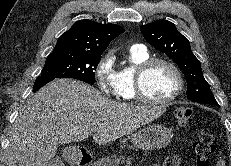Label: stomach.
Instances as JSON below:
<instances>
[{
	"mask_svg": "<svg viewBox=\"0 0 231 166\" xmlns=\"http://www.w3.org/2000/svg\"><path fill=\"white\" fill-rule=\"evenodd\" d=\"M171 138V130L163 125H151L131 134L133 146L142 150L161 149Z\"/></svg>",
	"mask_w": 231,
	"mask_h": 166,
	"instance_id": "obj_1",
	"label": "stomach"
}]
</instances>
